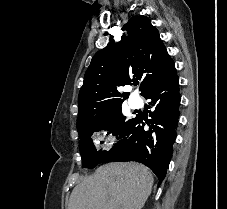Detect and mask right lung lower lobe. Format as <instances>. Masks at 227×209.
I'll return each mask as SVG.
<instances>
[{
    "mask_svg": "<svg viewBox=\"0 0 227 209\" xmlns=\"http://www.w3.org/2000/svg\"><path fill=\"white\" fill-rule=\"evenodd\" d=\"M151 99L152 118L144 128V118L138 114L124 136L106 153L102 162L137 161L149 167L158 177L159 185L166 175L176 139L179 120V83L174 62L158 70L143 95Z\"/></svg>",
    "mask_w": 227,
    "mask_h": 209,
    "instance_id": "right-lung-lower-lobe-1",
    "label": "right lung lower lobe"
}]
</instances>
